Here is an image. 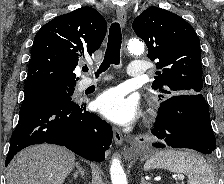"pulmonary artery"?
<instances>
[{
  "label": "pulmonary artery",
  "mask_w": 224,
  "mask_h": 184,
  "mask_svg": "<svg viewBox=\"0 0 224 184\" xmlns=\"http://www.w3.org/2000/svg\"><path fill=\"white\" fill-rule=\"evenodd\" d=\"M146 73V67L141 61H132L129 64L128 75L130 77H142ZM96 82L90 78H83L78 83V90H84Z\"/></svg>",
  "instance_id": "e3ab8cb5"
}]
</instances>
